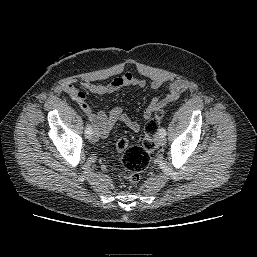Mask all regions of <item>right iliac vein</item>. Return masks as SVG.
Returning a JSON list of instances; mask_svg holds the SVG:
<instances>
[{
	"label": "right iliac vein",
	"instance_id": "obj_1",
	"mask_svg": "<svg viewBox=\"0 0 257 257\" xmlns=\"http://www.w3.org/2000/svg\"><path fill=\"white\" fill-rule=\"evenodd\" d=\"M89 139H90V141H92V142H96V141L98 140V137L93 134V135H91V136L89 137Z\"/></svg>",
	"mask_w": 257,
	"mask_h": 257
}]
</instances>
